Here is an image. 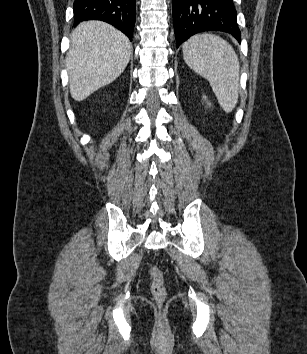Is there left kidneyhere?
Listing matches in <instances>:
<instances>
[{
    "instance_id": "1",
    "label": "left kidney",
    "mask_w": 307,
    "mask_h": 354,
    "mask_svg": "<svg viewBox=\"0 0 307 354\" xmlns=\"http://www.w3.org/2000/svg\"><path fill=\"white\" fill-rule=\"evenodd\" d=\"M204 99H206V96H203ZM210 105V103H208Z\"/></svg>"
}]
</instances>
